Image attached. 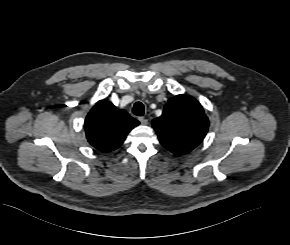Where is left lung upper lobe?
Masks as SVG:
<instances>
[{"instance_id": "5c2ea615", "label": "left lung upper lobe", "mask_w": 290, "mask_h": 245, "mask_svg": "<svg viewBox=\"0 0 290 245\" xmlns=\"http://www.w3.org/2000/svg\"><path fill=\"white\" fill-rule=\"evenodd\" d=\"M160 143L175 155H183L204 139L209 120L193 97L177 95L164 106L163 114L152 121Z\"/></svg>"}]
</instances>
